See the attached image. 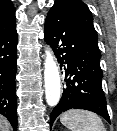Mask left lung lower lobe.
<instances>
[{"label": "left lung lower lobe", "mask_w": 117, "mask_h": 131, "mask_svg": "<svg viewBox=\"0 0 117 131\" xmlns=\"http://www.w3.org/2000/svg\"><path fill=\"white\" fill-rule=\"evenodd\" d=\"M45 40L52 47L64 77V92L50 119L69 109L95 112L110 123L102 89L101 55L84 38L71 11L64 5H53L44 28Z\"/></svg>", "instance_id": "1"}]
</instances>
